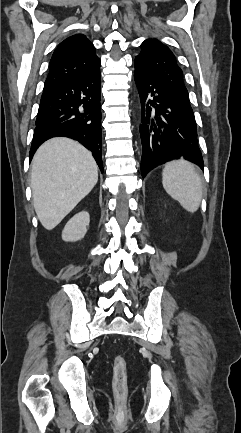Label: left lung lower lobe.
I'll use <instances>...</instances> for the list:
<instances>
[{
    "mask_svg": "<svg viewBox=\"0 0 241 433\" xmlns=\"http://www.w3.org/2000/svg\"><path fill=\"white\" fill-rule=\"evenodd\" d=\"M141 100V173L174 159L204 169L194 114L161 82L135 71Z\"/></svg>",
    "mask_w": 241,
    "mask_h": 433,
    "instance_id": "0a47b994",
    "label": "left lung lower lobe"
}]
</instances>
